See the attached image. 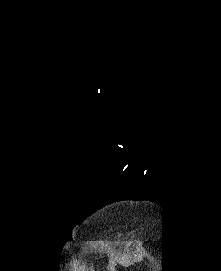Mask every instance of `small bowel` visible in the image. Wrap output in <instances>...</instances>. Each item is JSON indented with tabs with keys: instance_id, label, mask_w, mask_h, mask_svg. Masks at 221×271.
Here are the masks:
<instances>
[{
	"instance_id": "1",
	"label": "small bowel",
	"mask_w": 221,
	"mask_h": 271,
	"mask_svg": "<svg viewBox=\"0 0 221 271\" xmlns=\"http://www.w3.org/2000/svg\"><path fill=\"white\" fill-rule=\"evenodd\" d=\"M145 254V250H140L133 254L116 253L110 260L108 270L115 271L117 266L128 267L138 263L144 258Z\"/></svg>"
}]
</instances>
